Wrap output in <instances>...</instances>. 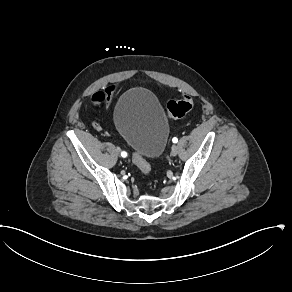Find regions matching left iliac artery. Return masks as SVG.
<instances>
[{
  "label": "left iliac artery",
  "instance_id": "left-iliac-artery-1",
  "mask_svg": "<svg viewBox=\"0 0 292 292\" xmlns=\"http://www.w3.org/2000/svg\"><path fill=\"white\" fill-rule=\"evenodd\" d=\"M172 141H173V143H177V142H178V138L174 137V138L172 139Z\"/></svg>",
  "mask_w": 292,
  "mask_h": 292
}]
</instances>
